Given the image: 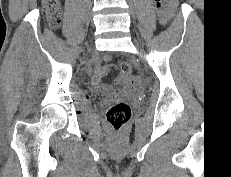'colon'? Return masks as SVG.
I'll use <instances>...</instances> for the list:
<instances>
[{"label":"colon","instance_id":"obj_1","mask_svg":"<svg viewBox=\"0 0 231 177\" xmlns=\"http://www.w3.org/2000/svg\"><path fill=\"white\" fill-rule=\"evenodd\" d=\"M172 0H156L157 10L160 15H166V6L171 5ZM47 22L52 28H57L60 24L61 0H42ZM122 75L131 77L132 67L127 62H122L119 66ZM131 117V108L125 101H116L109 107L106 113L108 123L116 130L123 127Z\"/></svg>","mask_w":231,"mask_h":177}]
</instances>
